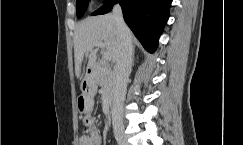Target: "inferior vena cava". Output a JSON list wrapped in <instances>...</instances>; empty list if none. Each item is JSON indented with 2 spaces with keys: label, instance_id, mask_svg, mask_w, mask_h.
Wrapping results in <instances>:
<instances>
[{
  "label": "inferior vena cava",
  "instance_id": "obj_1",
  "mask_svg": "<svg viewBox=\"0 0 243 145\" xmlns=\"http://www.w3.org/2000/svg\"><path fill=\"white\" fill-rule=\"evenodd\" d=\"M113 16L118 29L119 48L114 72L112 114L122 121L126 88L132 69V41L120 5L114 6Z\"/></svg>",
  "mask_w": 243,
  "mask_h": 145
}]
</instances>
